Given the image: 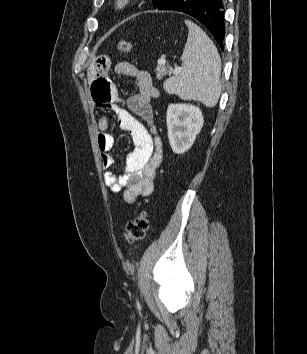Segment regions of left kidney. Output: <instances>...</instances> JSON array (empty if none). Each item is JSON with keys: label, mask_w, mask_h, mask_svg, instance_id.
<instances>
[{"label": "left kidney", "mask_w": 307, "mask_h": 354, "mask_svg": "<svg viewBox=\"0 0 307 354\" xmlns=\"http://www.w3.org/2000/svg\"><path fill=\"white\" fill-rule=\"evenodd\" d=\"M166 121L169 143L176 154L191 148L204 123L199 107L187 103L170 104Z\"/></svg>", "instance_id": "left-kidney-1"}]
</instances>
